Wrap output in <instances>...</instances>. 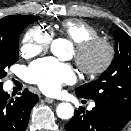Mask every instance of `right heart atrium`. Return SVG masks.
<instances>
[{"instance_id": "right-heart-atrium-1", "label": "right heart atrium", "mask_w": 131, "mask_h": 131, "mask_svg": "<svg viewBox=\"0 0 131 131\" xmlns=\"http://www.w3.org/2000/svg\"><path fill=\"white\" fill-rule=\"evenodd\" d=\"M52 39L50 31L42 26H32L23 35L20 50L26 56H34L45 51Z\"/></svg>"}]
</instances>
